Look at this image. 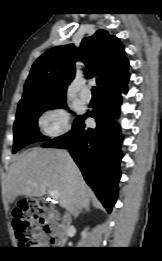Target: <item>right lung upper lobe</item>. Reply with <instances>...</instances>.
Wrapping results in <instances>:
<instances>
[{
  "label": "right lung upper lobe",
  "mask_w": 162,
  "mask_h": 261,
  "mask_svg": "<svg viewBox=\"0 0 162 261\" xmlns=\"http://www.w3.org/2000/svg\"><path fill=\"white\" fill-rule=\"evenodd\" d=\"M86 65L85 76H98L100 92L116 90L129 80V61L120 40L106 30H98L73 44L54 47L40 56L32 66L24 85L22 100L34 96H66L68 85L75 77V61Z\"/></svg>",
  "instance_id": "cb5924a9"
}]
</instances>
